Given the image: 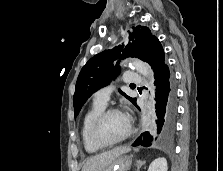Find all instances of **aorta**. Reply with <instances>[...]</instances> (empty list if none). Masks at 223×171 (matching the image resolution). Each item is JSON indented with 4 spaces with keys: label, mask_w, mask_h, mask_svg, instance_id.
Here are the masks:
<instances>
[{
    "label": "aorta",
    "mask_w": 223,
    "mask_h": 171,
    "mask_svg": "<svg viewBox=\"0 0 223 171\" xmlns=\"http://www.w3.org/2000/svg\"><path fill=\"white\" fill-rule=\"evenodd\" d=\"M129 65H131L137 72L146 77H151L153 75L151 67L138 59H131L129 61Z\"/></svg>",
    "instance_id": "obj_1"
}]
</instances>
